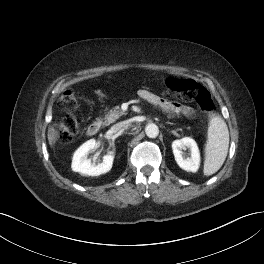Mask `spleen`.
Here are the masks:
<instances>
[{
    "label": "spleen",
    "instance_id": "1",
    "mask_svg": "<svg viewBox=\"0 0 264 264\" xmlns=\"http://www.w3.org/2000/svg\"><path fill=\"white\" fill-rule=\"evenodd\" d=\"M229 147V131L221 116L211 118L208 127V140L205 146L204 175L216 173L223 165Z\"/></svg>",
    "mask_w": 264,
    "mask_h": 264
}]
</instances>
